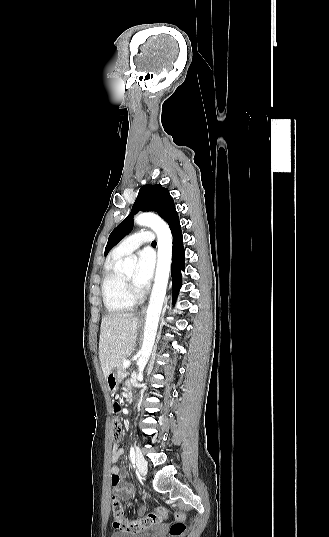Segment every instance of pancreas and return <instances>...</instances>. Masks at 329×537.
<instances>
[{"label":"pancreas","instance_id":"pancreas-1","mask_svg":"<svg viewBox=\"0 0 329 537\" xmlns=\"http://www.w3.org/2000/svg\"><path fill=\"white\" fill-rule=\"evenodd\" d=\"M124 359H122L117 365V377L123 379L126 376V369L123 368Z\"/></svg>","mask_w":329,"mask_h":537}]
</instances>
